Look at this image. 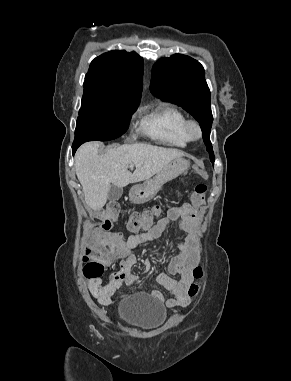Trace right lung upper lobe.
Masks as SVG:
<instances>
[{
	"label": "right lung upper lobe",
	"instance_id": "obj_1",
	"mask_svg": "<svg viewBox=\"0 0 291 381\" xmlns=\"http://www.w3.org/2000/svg\"><path fill=\"white\" fill-rule=\"evenodd\" d=\"M143 59L135 52L113 50L96 57L84 81V93L139 103Z\"/></svg>",
	"mask_w": 291,
	"mask_h": 381
}]
</instances>
